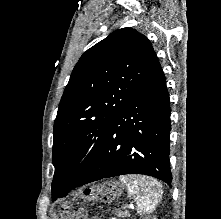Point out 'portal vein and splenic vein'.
Here are the masks:
<instances>
[{"label": "portal vein and splenic vein", "mask_w": 221, "mask_h": 219, "mask_svg": "<svg viewBox=\"0 0 221 219\" xmlns=\"http://www.w3.org/2000/svg\"><path fill=\"white\" fill-rule=\"evenodd\" d=\"M127 207L133 209V206L131 204H128Z\"/></svg>", "instance_id": "18ae733b"}]
</instances>
